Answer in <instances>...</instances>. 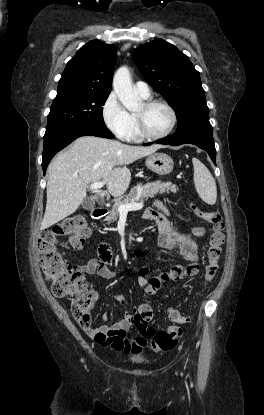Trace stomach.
Instances as JSON below:
<instances>
[{"instance_id":"obj_1","label":"stomach","mask_w":264,"mask_h":415,"mask_svg":"<svg viewBox=\"0 0 264 415\" xmlns=\"http://www.w3.org/2000/svg\"><path fill=\"white\" fill-rule=\"evenodd\" d=\"M145 164L154 173L163 176L173 171V159L165 153H153L146 158Z\"/></svg>"}]
</instances>
